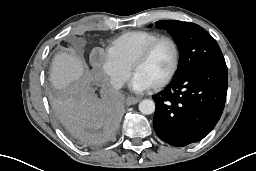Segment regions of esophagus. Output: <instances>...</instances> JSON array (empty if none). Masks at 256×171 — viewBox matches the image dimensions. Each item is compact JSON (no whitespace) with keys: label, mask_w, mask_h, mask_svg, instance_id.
I'll use <instances>...</instances> for the list:
<instances>
[{"label":"esophagus","mask_w":256,"mask_h":171,"mask_svg":"<svg viewBox=\"0 0 256 171\" xmlns=\"http://www.w3.org/2000/svg\"><path fill=\"white\" fill-rule=\"evenodd\" d=\"M125 102H126L127 105L130 106V105L137 104L139 102V99L135 98V97H127Z\"/></svg>","instance_id":"obj_1"}]
</instances>
